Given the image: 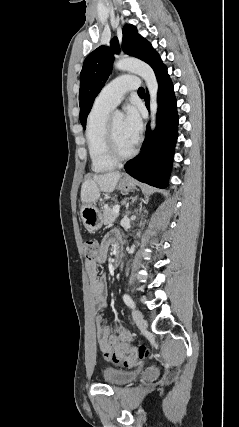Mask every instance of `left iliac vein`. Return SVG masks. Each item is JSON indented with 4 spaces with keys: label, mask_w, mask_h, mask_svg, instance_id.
<instances>
[{
    "label": "left iliac vein",
    "mask_w": 239,
    "mask_h": 427,
    "mask_svg": "<svg viewBox=\"0 0 239 427\" xmlns=\"http://www.w3.org/2000/svg\"><path fill=\"white\" fill-rule=\"evenodd\" d=\"M132 315H133V319H134L135 323L137 324V326L140 329L145 330L148 325H147L146 320L143 317L142 312L138 309H135V310H133Z\"/></svg>",
    "instance_id": "4c4485c4"
}]
</instances>
